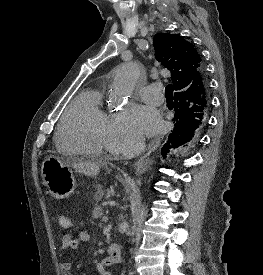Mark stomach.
Here are the masks:
<instances>
[{
  "label": "stomach",
  "mask_w": 263,
  "mask_h": 275,
  "mask_svg": "<svg viewBox=\"0 0 263 275\" xmlns=\"http://www.w3.org/2000/svg\"><path fill=\"white\" fill-rule=\"evenodd\" d=\"M41 174L49 193L56 199H64L74 193L76 180L72 168L55 156L42 162Z\"/></svg>",
  "instance_id": "1"
}]
</instances>
